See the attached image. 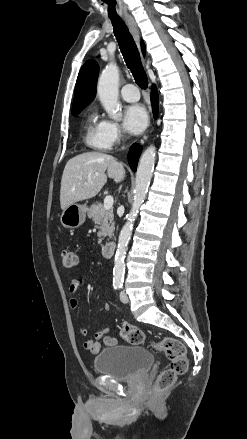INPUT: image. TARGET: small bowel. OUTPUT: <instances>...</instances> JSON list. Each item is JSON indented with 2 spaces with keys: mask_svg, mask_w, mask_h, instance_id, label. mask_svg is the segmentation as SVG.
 I'll return each mask as SVG.
<instances>
[{
  "mask_svg": "<svg viewBox=\"0 0 247 439\" xmlns=\"http://www.w3.org/2000/svg\"><path fill=\"white\" fill-rule=\"evenodd\" d=\"M84 286V280L81 278H75L71 281V284L69 286V292H70V300L69 304L72 309H76L78 307V300L74 297V295L82 289ZM105 311L110 310V306L106 304L104 306ZM109 328H103L95 333L96 341L89 339L86 340L83 343V346L86 350L96 354L98 353L104 346H113L117 343L116 338L112 336H108L107 333L109 332ZM88 334V331L86 328L80 329V335L82 337H86Z\"/></svg>",
  "mask_w": 247,
  "mask_h": 439,
  "instance_id": "1",
  "label": "small bowel"
}]
</instances>
